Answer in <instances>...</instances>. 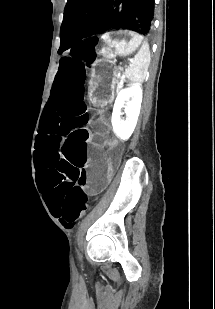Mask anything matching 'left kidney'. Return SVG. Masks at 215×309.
<instances>
[{"label":"left kidney","instance_id":"left-kidney-1","mask_svg":"<svg viewBox=\"0 0 215 309\" xmlns=\"http://www.w3.org/2000/svg\"><path fill=\"white\" fill-rule=\"evenodd\" d=\"M125 100H128V102H125ZM141 102L142 88L139 84H133L130 88H122L118 92L113 106L111 122L116 136H119L122 140H128L131 136L138 120ZM124 104H126L125 120L120 116Z\"/></svg>","mask_w":215,"mask_h":309}]
</instances>
